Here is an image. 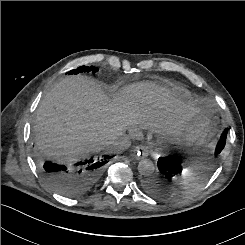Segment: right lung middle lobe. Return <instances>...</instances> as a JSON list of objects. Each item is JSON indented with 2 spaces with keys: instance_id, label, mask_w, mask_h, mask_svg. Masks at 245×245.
Masks as SVG:
<instances>
[{
  "instance_id": "obj_1",
  "label": "right lung middle lobe",
  "mask_w": 245,
  "mask_h": 245,
  "mask_svg": "<svg viewBox=\"0 0 245 245\" xmlns=\"http://www.w3.org/2000/svg\"><path fill=\"white\" fill-rule=\"evenodd\" d=\"M97 71H98V69L96 67H94V66H92V67L81 66V67H78L75 70L69 71L68 74H78V73H82V72H93V73H95Z\"/></svg>"
}]
</instances>
